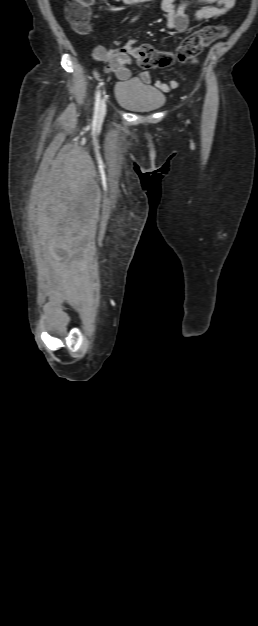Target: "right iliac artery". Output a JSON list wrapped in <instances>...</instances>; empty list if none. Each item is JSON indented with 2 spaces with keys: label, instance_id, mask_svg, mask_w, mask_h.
Segmentation results:
<instances>
[{
  "label": "right iliac artery",
  "instance_id": "obj_1",
  "mask_svg": "<svg viewBox=\"0 0 258 626\" xmlns=\"http://www.w3.org/2000/svg\"><path fill=\"white\" fill-rule=\"evenodd\" d=\"M102 84H100L101 86ZM100 97H101V93L100 90H98L96 97H95V106H94V116L96 117L98 112H99V107H100Z\"/></svg>",
  "mask_w": 258,
  "mask_h": 626
}]
</instances>
